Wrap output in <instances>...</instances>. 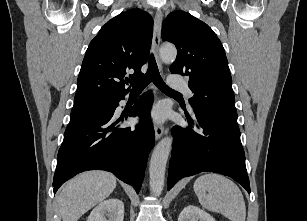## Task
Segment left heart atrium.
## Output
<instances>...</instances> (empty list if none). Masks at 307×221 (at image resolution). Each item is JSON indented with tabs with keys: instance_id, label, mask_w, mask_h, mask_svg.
<instances>
[{
	"instance_id": "obj_1",
	"label": "left heart atrium",
	"mask_w": 307,
	"mask_h": 221,
	"mask_svg": "<svg viewBox=\"0 0 307 221\" xmlns=\"http://www.w3.org/2000/svg\"><path fill=\"white\" fill-rule=\"evenodd\" d=\"M152 116L156 121H162L164 120L165 116H166V110L163 106H158L156 107L153 112H152Z\"/></svg>"
}]
</instances>
